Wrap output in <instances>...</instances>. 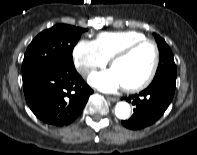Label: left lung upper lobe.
I'll use <instances>...</instances> for the list:
<instances>
[{
	"label": "left lung upper lobe",
	"instance_id": "5c2ea615",
	"mask_svg": "<svg viewBox=\"0 0 197 155\" xmlns=\"http://www.w3.org/2000/svg\"><path fill=\"white\" fill-rule=\"evenodd\" d=\"M159 53L160 62L153 81L166 80L176 82L177 69L170 47L159 35L154 33Z\"/></svg>",
	"mask_w": 197,
	"mask_h": 155
}]
</instances>
